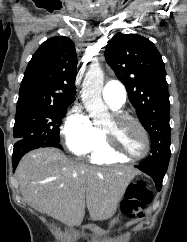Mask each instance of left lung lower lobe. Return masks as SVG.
Instances as JSON below:
<instances>
[{
  "label": "left lung lower lobe",
  "mask_w": 187,
  "mask_h": 242,
  "mask_svg": "<svg viewBox=\"0 0 187 242\" xmlns=\"http://www.w3.org/2000/svg\"><path fill=\"white\" fill-rule=\"evenodd\" d=\"M136 167L141 171L145 172L146 174H148L149 176H151L156 184L157 190L160 191L162 187V181L167 171V168L147 166V165H141V164L137 165Z\"/></svg>",
  "instance_id": "0a47b994"
}]
</instances>
